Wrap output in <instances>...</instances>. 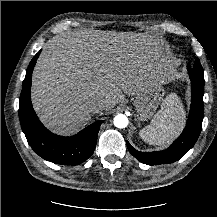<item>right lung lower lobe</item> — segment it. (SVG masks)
I'll list each match as a JSON object with an SVG mask.
<instances>
[{
    "mask_svg": "<svg viewBox=\"0 0 217 217\" xmlns=\"http://www.w3.org/2000/svg\"><path fill=\"white\" fill-rule=\"evenodd\" d=\"M38 52L31 60L20 95L19 118L22 130L31 148L42 158L61 165H78L94 152L100 125L98 120L73 137H61L48 131L37 118L30 98L33 67Z\"/></svg>",
    "mask_w": 217,
    "mask_h": 217,
    "instance_id": "1",
    "label": "right lung lower lobe"
}]
</instances>
